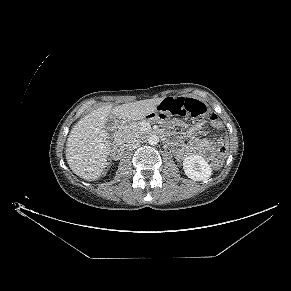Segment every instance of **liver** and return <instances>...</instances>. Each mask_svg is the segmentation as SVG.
<instances>
[{"mask_svg": "<svg viewBox=\"0 0 291 291\" xmlns=\"http://www.w3.org/2000/svg\"><path fill=\"white\" fill-rule=\"evenodd\" d=\"M163 98L145 99L113 107L102 106L72 128L66 144V159L71 170L85 180L100 177L107 165L111 142L104 129L107 117L113 116L128 122L138 121L154 112Z\"/></svg>", "mask_w": 291, "mask_h": 291, "instance_id": "6515ba94", "label": "liver"}]
</instances>
